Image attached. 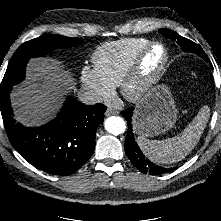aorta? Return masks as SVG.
<instances>
[{
    "label": "aorta",
    "mask_w": 221,
    "mask_h": 221,
    "mask_svg": "<svg viewBox=\"0 0 221 221\" xmlns=\"http://www.w3.org/2000/svg\"><path fill=\"white\" fill-rule=\"evenodd\" d=\"M107 132L113 135H119L125 132L126 123L121 117L111 116L105 120L104 123Z\"/></svg>",
    "instance_id": "762f6f07"
}]
</instances>
